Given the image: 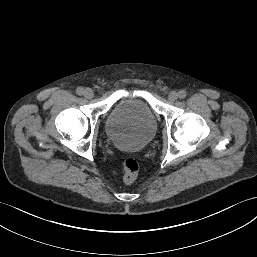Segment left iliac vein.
<instances>
[{"label": "left iliac vein", "mask_w": 257, "mask_h": 257, "mask_svg": "<svg viewBox=\"0 0 257 257\" xmlns=\"http://www.w3.org/2000/svg\"><path fill=\"white\" fill-rule=\"evenodd\" d=\"M170 101H175L178 98V93L175 91H171L168 95Z\"/></svg>", "instance_id": "4c4485c4"}]
</instances>
